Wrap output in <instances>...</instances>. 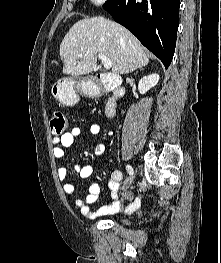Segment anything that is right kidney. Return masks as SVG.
<instances>
[{
	"label": "right kidney",
	"instance_id": "ca27d5eb",
	"mask_svg": "<svg viewBox=\"0 0 221 263\" xmlns=\"http://www.w3.org/2000/svg\"><path fill=\"white\" fill-rule=\"evenodd\" d=\"M160 77L158 74L153 73L148 76H144L143 78L140 79L138 83V90L140 94H145L148 90H150L152 87L157 85Z\"/></svg>",
	"mask_w": 221,
	"mask_h": 263
}]
</instances>
